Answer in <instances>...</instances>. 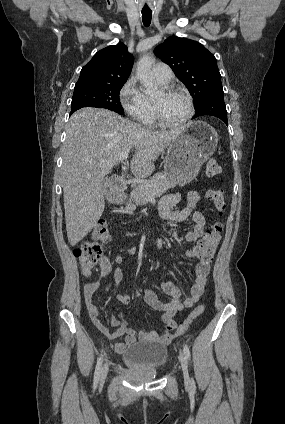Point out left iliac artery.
<instances>
[{"mask_svg": "<svg viewBox=\"0 0 285 424\" xmlns=\"http://www.w3.org/2000/svg\"><path fill=\"white\" fill-rule=\"evenodd\" d=\"M184 352H185L187 358H190V350H189V347L187 345H184ZM192 384H193V380H192Z\"/></svg>", "mask_w": 285, "mask_h": 424, "instance_id": "44dca946", "label": "left iliac artery"}]
</instances>
